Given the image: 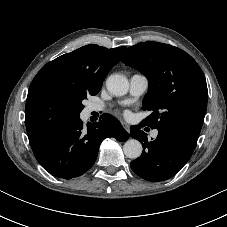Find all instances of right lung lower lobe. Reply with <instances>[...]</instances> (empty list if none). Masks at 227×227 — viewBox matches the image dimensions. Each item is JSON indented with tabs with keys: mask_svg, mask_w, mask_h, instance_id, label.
<instances>
[{
	"mask_svg": "<svg viewBox=\"0 0 227 227\" xmlns=\"http://www.w3.org/2000/svg\"><path fill=\"white\" fill-rule=\"evenodd\" d=\"M129 138L120 122L103 114L99 122L83 126L77 117L48 135L33 153L40 165L53 176L70 179L82 175L95 163L101 142L107 137Z\"/></svg>",
	"mask_w": 227,
	"mask_h": 227,
	"instance_id": "1",
	"label": "right lung lower lobe"
}]
</instances>
